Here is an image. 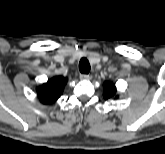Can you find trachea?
<instances>
[{
  "label": "trachea",
  "instance_id": "obj_1",
  "mask_svg": "<svg viewBox=\"0 0 165 154\" xmlns=\"http://www.w3.org/2000/svg\"><path fill=\"white\" fill-rule=\"evenodd\" d=\"M79 70L83 74H88L90 72V64L86 58H82L79 62Z\"/></svg>",
  "mask_w": 165,
  "mask_h": 154
}]
</instances>
